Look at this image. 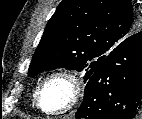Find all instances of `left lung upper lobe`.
<instances>
[{"mask_svg":"<svg viewBox=\"0 0 142 119\" xmlns=\"http://www.w3.org/2000/svg\"><path fill=\"white\" fill-rule=\"evenodd\" d=\"M130 0H63L46 25L28 76L56 68L83 71L87 82L120 42L139 30Z\"/></svg>","mask_w":142,"mask_h":119,"instance_id":"1","label":"left lung upper lobe"}]
</instances>
